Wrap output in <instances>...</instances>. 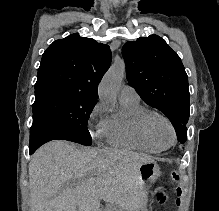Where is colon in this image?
Returning <instances> with one entry per match:
<instances>
[{
  "instance_id": "colon-1",
  "label": "colon",
  "mask_w": 219,
  "mask_h": 211,
  "mask_svg": "<svg viewBox=\"0 0 219 211\" xmlns=\"http://www.w3.org/2000/svg\"><path fill=\"white\" fill-rule=\"evenodd\" d=\"M171 179H172V181H173L174 183H178L179 180H180V175H179V173L176 172V171H173V172L171 173ZM175 192H176V194H177L178 196H180V195H181V188L177 187V188L175 189ZM177 202L179 203V201H177Z\"/></svg>"
}]
</instances>
